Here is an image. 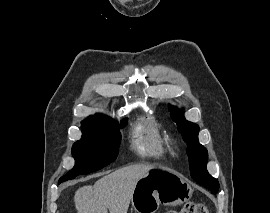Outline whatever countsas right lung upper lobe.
I'll list each match as a JSON object with an SVG mask.
<instances>
[{
    "label": "right lung upper lobe",
    "mask_w": 270,
    "mask_h": 213,
    "mask_svg": "<svg viewBox=\"0 0 270 213\" xmlns=\"http://www.w3.org/2000/svg\"><path fill=\"white\" fill-rule=\"evenodd\" d=\"M114 121L111 118L101 115V114H97L95 116H90L89 118L85 119L82 121V123H89V122H111Z\"/></svg>",
    "instance_id": "obj_1"
}]
</instances>
